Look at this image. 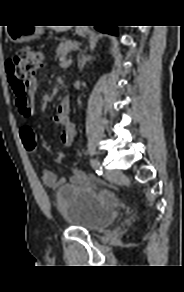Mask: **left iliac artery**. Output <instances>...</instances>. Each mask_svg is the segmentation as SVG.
Wrapping results in <instances>:
<instances>
[{"label": "left iliac artery", "mask_w": 184, "mask_h": 292, "mask_svg": "<svg viewBox=\"0 0 184 292\" xmlns=\"http://www.w3.org/2000/svg\"><path fill=\"white\" fill-rule=\"evenodd\" d=\"M90 164L98 175H102L103 169L99 161H97L96 159H90Z\"/></svg>", "instance_id": "left-iliac-artery-1"}]
</instances>
